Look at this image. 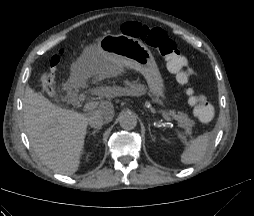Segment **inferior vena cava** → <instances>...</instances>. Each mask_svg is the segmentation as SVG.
<instances>
[{"instance_id":"inferior-vena-cava-1","label":"inferior vena cava","mask_w":254,"mask_h":216,"mask_svg":"<svg viewBox=\"0 0 254 216\" xmlns=\"http://www.w3.org/2000/svg\"><path fill=\"white\" fill-rule=\"evenodd\" d=\"M108 122L109 121L99 113L93 114L88 119V124L92 128H98V129L101 128L105 123H108Z\"/></svg>"}]
</instances>
